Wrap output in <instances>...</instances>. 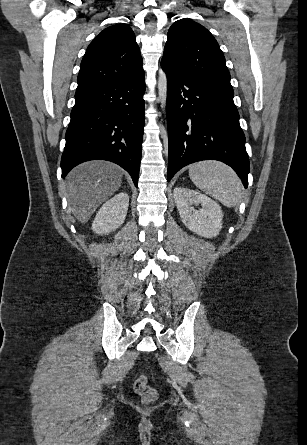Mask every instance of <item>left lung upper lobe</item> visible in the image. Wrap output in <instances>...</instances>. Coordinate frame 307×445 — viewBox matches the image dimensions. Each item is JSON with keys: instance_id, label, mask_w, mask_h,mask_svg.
I'll return each instance as SVG.
<instances>
[{"instance_id": "1", "label": "left lung upper lobe", "mask_w": 307, "mask_h": 445, "mask_svg": "<svg viewBox=\"0 0 307 445\" xmlns=\"http://www.w3.org/2000/svg\"><path fill=\"white\" fill-rule=\"evenodd\" d=\"M161 63H166L208 90L233 97L230 73L213 35L184 18L172 24Z\"/></svg>"}]
</instances>
